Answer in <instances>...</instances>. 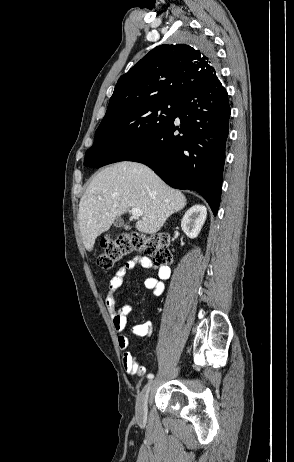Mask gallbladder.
<instances>
[{"label":"gallbladder","mask_w":294,"mask_h":462,"mask_svg":"<svg viewBox=\"0 0 294 462\" xmlns=\"http://www.w3.org/2000/svg\"><path fill=\"white\" fill-rule=\"evenodd\" d=\"M113 224L115 228H119L124 225V221L121 218H116Z\"/></svg>","instance_id":"bac80fb5"}]
</instances>
